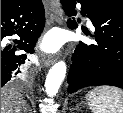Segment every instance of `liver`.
Here are the masks:
<instances>
[{
  "instance_id": "obj_1",
  "label": "liver",
  "mask_w": 123,
  "mask_h": 113,
  "mask_svg": "<svg viewBox=\"0 0 123 113\" xmlns=\"http://www.w3.org/2000/svg\"><path fill=\"white\" fill-rule=\"evenodd\" d=\"M26 101L17 90L13 88L1 89V113H23Z\"/></svg>"
}]
</instances>
